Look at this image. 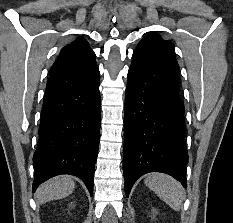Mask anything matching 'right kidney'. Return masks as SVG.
<instances>
[{"instance_id":"ca27d5eb","label":"right kidney","mask_w":233,"mask_h":223,"mask_svg":"<svg viewBox=\"0 0 233 223\" xmlns=\"http://www.w3.org/2000/svg\"><path fill=\"white\" fill-rule=\"evenodd\" d=\"M72 203H74V201H71V203H69L70 207H71Z\"/></svg>"}]
</instances>
